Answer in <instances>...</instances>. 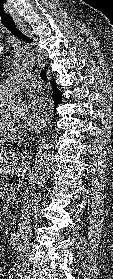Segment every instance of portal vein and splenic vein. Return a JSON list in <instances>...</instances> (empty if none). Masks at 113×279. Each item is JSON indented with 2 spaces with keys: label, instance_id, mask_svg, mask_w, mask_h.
Listing matches in <instances>:
<instances>
[{
  "label": "portal vein and splenic vein",
  "instance_id": "obj_1",
  "mask_svg": "<svg viewBox=\"0 0 113 279\" xmlns=\"http://www.w3.org/2000/svg\"><path fill=\"white\" fill-rule=\"evenodd\" d=\"M8 199H9V200L14 199V196H13L12 194H10V195L8 196Z\"/></svg>",
  "mask_w": 113,
  "mask_h": 279
}]
</instances>
